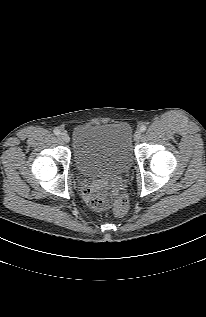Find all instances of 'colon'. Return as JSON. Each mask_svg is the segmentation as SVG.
Segmentation results:
<instances>
[{
  "mask_svg": "<svg viewBox=\"0 0 206 317\" xmlns=\"http://www.w3.org/2000/svg\"><path fill=\"white\" fill-rule=\"evenodd\" d=\"M85 194L90 207L96 211L112 208L115 215L122 216L128 210V200L122 194L111 193L98 187L87 189Z\"/></svg>",
  "mask_w": 206,
  "mask_h": 317,
  "instance_id": "5ec220e1",
  "label": "colon"
}]
</instances>
